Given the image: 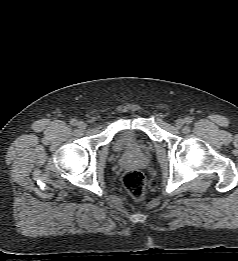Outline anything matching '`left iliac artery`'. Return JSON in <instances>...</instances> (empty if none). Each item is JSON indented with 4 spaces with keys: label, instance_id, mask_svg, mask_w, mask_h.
<instances>
[{
    "label": "left iliac artery",
    "instance_id": "44dca946",
    "mask_svg": "<svg viewBox=\"0 0 238 261\" xmlns=\"http://www.w3.org/2000/svg\"><path fill=\"white\" fill-rule=\"evenodd\" d=\"M185 123H187V124L192 123V118L191 117H186L185 118Z\"/></svg>",
    "mask_w": 238,
    "mask_h": 261
}]
</instances>
